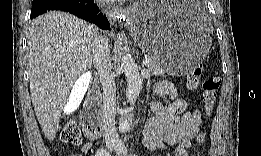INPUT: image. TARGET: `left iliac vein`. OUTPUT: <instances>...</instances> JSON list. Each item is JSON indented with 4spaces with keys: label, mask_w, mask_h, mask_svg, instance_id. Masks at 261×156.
Wrapping results in <instances>:
<instances>
[{
    "label": "left iliac vein",
    "mask_w": 261,
    "mask_h": 156,
    "mask_svg": "<svg viewBox=\"0 0 261 156\" xmlns=\"http://www.w3.org/2000/svg\"><path fill=\"white\" fill-rule=\"evenodd\" d=\"M118 155H128V150L123 142H119L115 148Z\"/></svg>",
    "instance_id": "1"
}]
</instances>
